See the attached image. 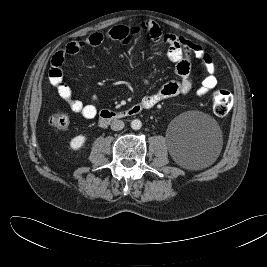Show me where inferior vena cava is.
I'll return each instance as SVG.
<instances>
[{"label":"inferior vena cava","instance_id":"1","mask_svg":"<svg viewBox=\"0 0 267 267\" xmlns=\"http://www.w3.org/2000/svg\"><path fill=\"white\" fill-rule=\"evenodd\" d=\"M124 128V122L122 120H114L111 123V129L114 131H119Z\"/></svg>","mask_w":267,"mask_h":267}]
</instances>
